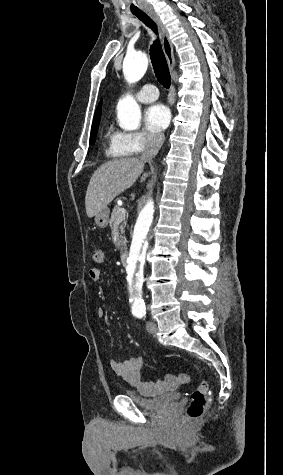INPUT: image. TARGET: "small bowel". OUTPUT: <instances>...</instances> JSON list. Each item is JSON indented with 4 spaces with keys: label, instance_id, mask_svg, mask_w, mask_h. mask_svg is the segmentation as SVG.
Instances as JSON below:
<instances>
[{
    "label": "small bowel",
    "instance_id": "c3829d8e",
    "mask_svg": "<svg viewBox=\"0 0 283 475\" xmlns=\"http://www.w3.org/2000/svg\"><path fill=\"white\" fill-rule=\"evenodd\" d=\"M102 276V269L98 267L91 268L89 270V278L94 281L98 282ZM97 315L100 318L105 317L106 312L103 308H99L97 310ZM143 365V361L140 357H130L124 361L118 360L116 358H112L110 360V367L112 371L117 374L118 376L122 377L127 383L136 387L137 389H145L146 383L141 378V368ZM165 382L168 385H172L175 382L174 374L171 371L166 372L165 374ZM178 378L181 383H188V381H183L188 378V373L185 371H180L178 373ZM157 383L161 382L160 378L156 379Z\"/></svg>",
    "mask_w": 283,
    "mask_h": 475
}]
</instances>
